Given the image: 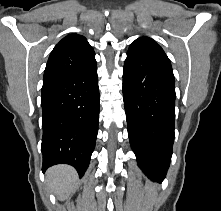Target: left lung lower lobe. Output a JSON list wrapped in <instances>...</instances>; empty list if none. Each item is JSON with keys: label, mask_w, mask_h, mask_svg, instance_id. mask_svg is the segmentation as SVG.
I'll return each instance as SVG.
<instances>
[{"label": "left lung lower lobe", "mask_w": 221, "mask_h": 211, "mask_svg": "<svg viewBox=\"0 0 221 211\" xmlns=\"http://www.w3.org/2000/svg\"><path fill=\"white\" fill-rule=\"evenodd\" d=\"M123 98L128 135L139 167L152 180L164 179L174 142L175 80L171 65L127 54Z\"/></svg>", "instance_id": "1"}]
</instances>
